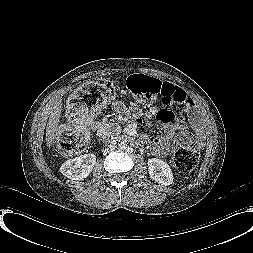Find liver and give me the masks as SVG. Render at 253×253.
<instances>
[{
	"mask_svg": "<svg viewBox=\"0 0 253 253\" xmlns=\"http://www.w3.org/2000/svg\"><path fill=\"white\" fill-rule=\"evenodd\" d=\"M61 108H62L61 100H58L51 108L49 120L46 127V137H45L46 144L48 147L52 145L55 139V132L57 131L60 122Z\"/></svg>",
	"mask_w": 253,
	"mask_h": 253,
	"instance_id": "liver-1",
	"label": "liver"
}]
</instances>
